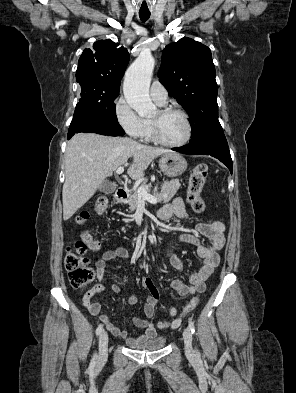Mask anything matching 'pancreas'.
I'll use <instances>...</instances> for the list:
<instances>
[{"label": "pancreas", "mask_w": 296, "mask_h": 393, "mask_svg": "<svg viewBox=\"0 0 296 393\" xmlns=\"http://www.w3.org/2000/svg\"><path fill=\"white\" fill-rule=\"evenodd\" d=\"M142 187H144L147 190V192L151 191V184H142ZM179 187H180V181L178 179L165 181L161 186V192L159 193L153 192V196L157 199L158 202L167 203L174 197ZM139 199L140 198L138 196V191L133 190L127 200V204L129 205V209L131 212L137 209L139 204Z\"/></svg>", "instance_id": "obj_1"}]
</instances>
